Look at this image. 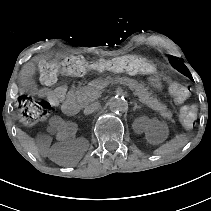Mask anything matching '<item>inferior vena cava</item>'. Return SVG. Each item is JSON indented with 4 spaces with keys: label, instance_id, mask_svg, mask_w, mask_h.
<instances>
[{
    "label": "inferior vena cava",
    "instance_id": "inferior-vena-cava-1",
    "mask_svg": "<svg viewBox=\"0 0 211 211\" xmlns=\"http://www.w3.org/2000/svg\"><path fill=\"white\" fill-rule=\"evenodd\" d=\"M98 108H99L98 103H96V102L91 103L90 105L85 107L84 114L89 115V114L93 113L94 111H96Z\"/></svg>",
    "mask_w": 211,
    "mask_h": 211
}]
</instances>
